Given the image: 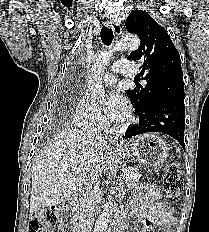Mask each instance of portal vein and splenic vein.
Here are the masks:
<instances>
[{
  "instance_id": "portal-vein-and-splenic-vein-1",
  "label": "portal vein and splenic vein",
  "mask_w": 209,
  "mask_h": 232,
  "mask_svg": "<svg viewBox=\"0 0 209 232\" xmlns=\"http://www.w3.org/2000/svg\"><path fill=\"white\" fill-rule=\"evenodd\" d=\"M127 178H128V176H127V174H125V175H124V179H125V181L127 180Z\"/></svg>"
}]
</instances>
